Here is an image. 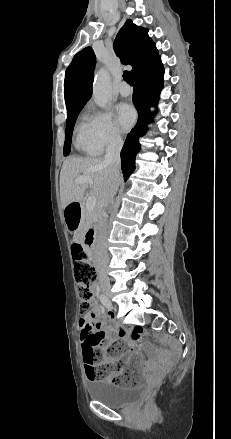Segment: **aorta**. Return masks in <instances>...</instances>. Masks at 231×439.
<instances>
[{"label": "aorta", "mask_w": 231, "mask_h": 439, "mask_svg": "<svg viewBox=\"0 0 231 439\" xmlns=\"http://www.w3.org/2000/svg\"><path fill=\"white\" fill-rule=\"evenodd\" d=\"M112 95L110 76L106 69L101 68L95 74L93 83V99L101 108H105Z\"/></svg>", "instance_id": "1"}]
</instances>
